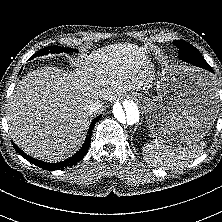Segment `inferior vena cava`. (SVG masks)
<instances>
[{"label": "inferior vena cava", "instance_id": "obj_1", "mask_svg": "<svg viewBox=\"0 0 222 222\" xmlns=\"http://www.w3.org/2000/svg\"><path fill=\"white\" fill-rule=\"evenodd\" d=\"M103 106L102 102L100 100L92 101L87 106L88 112L91 114L93 112H96L98 109H100Z\"/></svg>", "mask_w": 222, "mask_h": 222}]
</instances>
